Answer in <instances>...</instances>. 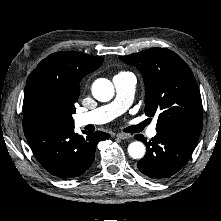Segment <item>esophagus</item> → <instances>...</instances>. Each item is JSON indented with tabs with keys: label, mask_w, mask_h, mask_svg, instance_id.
<instances>
[{
	"label": "esophagus",
	"mask_w": 221,
	"mask_h": 221,
	"mask_svg": "<svg viewBox=\"0 0 221 221\" xmlns=\"http://www.w3.org/2000/svg\"><path fill=\"white\" fill-rule=\"evenodd\" d=\"M117 137L119 139L126 140V139H129L131 136L129 134H126V133H118Z\"/></svg>",
	"instance_id": "1"
}]
</instances>
